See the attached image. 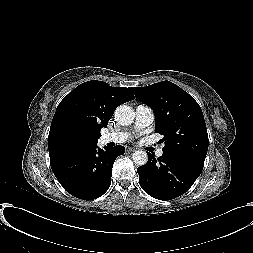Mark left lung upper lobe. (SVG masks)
<instances>
[{
  "label": "left lung upper lobe",
  "mask_w": 253,
  "mask_h": 253,
  "mask_svg": "<svg viewBox=\"0 0 253 253\" xmlns=\"http://www.w3.org/2000/svg\"><path fill=\"white\" fill-rule=\"evenodd\" d=\"M131 91L153 109L155 132L164 136L163 152L204 164L208 133L202 110L194 98L170 81L131 88Z\"/></svg>",
  "instance_id": "1"
}]
</instances>
